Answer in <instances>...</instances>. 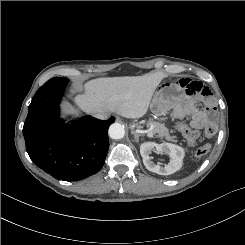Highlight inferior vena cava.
<instances>
[{"label": "inferior vena cava", "instance_id": "obj_1", "mask_svg": "<svg viewBox=\"0 0 245 245\" xmlns=\"http://www.w3.org/2000/svg\"><path fill=\"white\" fill-rule=\"evenodd\" d=\"M93 116L95 118H98V119H101V120H105V119H107L108 114L106 112H104V111H99V112L94 113Z\"/></svg>", "mask_w": 245, "mask_h": 245}]
</instances>
